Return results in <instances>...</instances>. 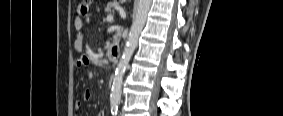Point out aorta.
I'll return each mask as SVG.
<instances>
[{
    "label": "aorta",
    "instance_id": "obj_1",
    "mask_svg": "<svg viewBox=\"0 0 283 116\" xmlns=\"http://www.w3.org/2000/svg\"><path fill=\"white\" fill-rule=\"evenodd\" d=\"M151 0H138L135 18L130 28L128 40L126 42L122 57L116 67L113 77L110 101L118 103L121 98L123 76L128 63L137 47L140 33L142 32L151 7Z\"/></svg>",
    "mask_w": 283,
    "mask_h": 116
}]
</instances>
